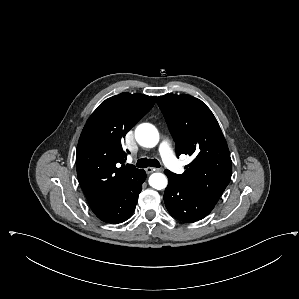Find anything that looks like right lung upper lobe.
Masks as SVG:
<instances>
[{
  "label": "right lung upper lobe",
  "mask_w": 299,
  "mask_h": 299,
  "mask_svg": "<svg viewBox=\"0 0 299 299\" xmlns=\"http://www.w3.org/2000/svg\"><path fill=\"white\" fill-rule=\"evenodd\" d=\"M155 101V96L124 92L101 103L86 122L78 142L76 168L93 212L139 173L134 165L124 164L127 154L122 139Z\"/></svg>",
  "instance_id": "cb5924a9"
}]
</instances>
